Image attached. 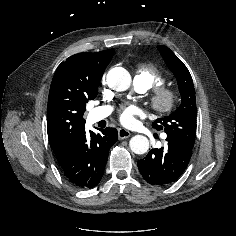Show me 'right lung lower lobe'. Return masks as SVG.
Here are the masks:
<instances>
[{
	"instance_id": "98d812e1",
	"label": "right lung lower lobe",
	"mask_w": 236,
	"mask_h": 236,
	"mask_svg": "<svg viewBox=\"0 0 236 236\" xmlns=\"http://www.w3.org/2000/svg\"><path fill=\"white\" fill-rule=\"evenodd\" d=\"M118 132L114 128L100 129L95 134L85 129L80 133L69 156L60 163L68 181L77 188L95 187L101 180L110 147L116 143Z\"/></svg>"
}]
</instances>
